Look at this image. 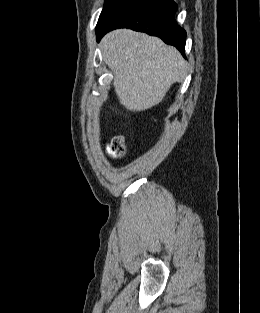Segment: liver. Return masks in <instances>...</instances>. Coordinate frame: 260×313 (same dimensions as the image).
Masks as SVG:
<instances>
[{
  "instance_id": "6515ba94",
  "label": "liver",
  "mask_w": 260,
  "mask_h": 313,
  "mask_svg": "<svg viewBox=\"0 0 260 313\" xmlns=\"http://www.w3.org/2000/svg\"><path fill=\"white\" fill-rule=\"evenodd\" d=\"M100 48L114 74L120 103L133 112L158 104L171 85L187 75V63L179 51L157 37L117 29L104 36Z\"/></svg>"
}]
</instances>
